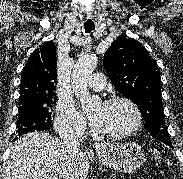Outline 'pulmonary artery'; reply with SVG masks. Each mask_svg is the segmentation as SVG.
<instances>
[{"label":"pulmonary artery","mask_w":183,"mask_h":179,"mask_svg":"<svg viewBox=\"0 0 183 179\" xmlns=\"http://www.w3.org/2000/svg\"><path fill=\"white\" fill-rule=\"evenodd\" d=\"M88 85L91 89L100 91L104 89L106 85V79L102 73L97 72L91 75Z\"/></svg>","instance_id":"1"}]
</instances>
